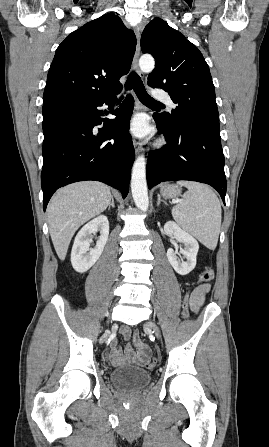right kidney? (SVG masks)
Instances as JSON below:
<instances>
[{"mask_svg": "<svg viewBox=\"0 0 269 447\" xmlns=\"http://www.w3.org/2000/svg\"><path fill=\"white\" fill-rule=\"evenodd\" d=\"M100 231L95 247H90L92 233ZM109 235V222L106 216H98L78 231L72 251L71 263L76 271H87L99 259Z\"/></svg>", "mask_w": 269, "mask_h": 447, "instance_id": "right-kidney-1", "label": "right kidney"}]
</instances>
